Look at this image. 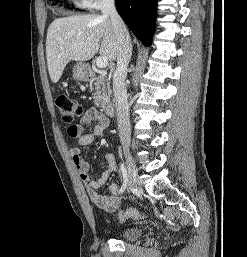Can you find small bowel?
Masks as SVG:
<instances>
[{
    "label": "small bowel",
    "mask_w": 247,
    "mask_h": 257,
    "mask_svg": "<svg viewBox=\"0 0 247 257\" xmlns=\"http://www.w3.org/2000/svg\"><path fill=\"white\" fill-rule=\"evenodd\" d=\"M96 123L91 133H85L86 126ZM107 120L100 114L96 108H88L80 117L77 124L71 125L67 129L68 135L77 139L78 146L73 147L70 151L73 163L75 164L81 180L84 182L90 200L100 209L106 212L116 211L121 203V192L116 184L109 186L110 195L104 196L98 193L109 177L116 170V163L112 153H106L107 166L103 169L98 177H91L88 174L89 167L82 158L81 148L90 145L96 136L103 133L107 127Z\"/></svg>",
    "instance_id": "c3829d8e"
}]
</instances>
